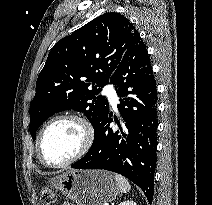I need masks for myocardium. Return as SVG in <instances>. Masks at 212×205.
Returning a JSON list of instances; mask_svg holds the SVG:
<instances>
[{
	"label": "myocardium",
	"mask_w": 212,
	"mask_h": 205,
	"mask_svg": "<svg viewBox=\"0 0 212 205\" xmlns=\"http://www.w3.org/2000/svg\"><path fill=\"white\" fill-rule=\"evenodd\" d=\"M63 120H70L76 122L82 129L83 132V142L80 149L74 154L72 157L67 159L61 163H50L48 162L42 153V141L46 131L52 126L54 123L63 121ZM95 138V131L92 123L89 121L87 117L79 113H64L57 115L50 119L40 130L38 138H37V153L40 161L48 167L51 168H63L66 167L79 159L85 156L88 151L91 149Z\"/></svg>",
	"instance_id": "f54148a6"
}]
</instances>
